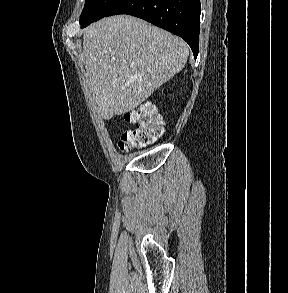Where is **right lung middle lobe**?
Segmentation results:
<instances>
[{
  "mask_svg": "<svg viewBox=\"0 0 288 293\" xmlns=\"http://www.w3.org/2000/svg\"><path fill=\"white\" fill-rule=\"evenodd\" d=\"M122 0H86L80 16V24L86 27L107 15Z\"/></svg>",
  "mask_w": 288,
  "mask_h": 293,
  "instance_id": "1",
  "label": "right lung middle lobe"
}]
</instances>
